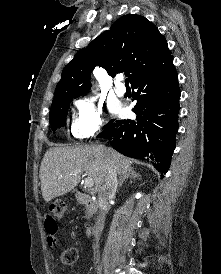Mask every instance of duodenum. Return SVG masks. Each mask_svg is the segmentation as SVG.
<instances>
[{"instance_id": "obj_1", "label": "duodenum", "mask_w": 221, "mask_h": 274, "mask_svg": "<svg viewBox=\"0 0 221 274\" xmlns=\"http://www.w3.org/2000/svg\"><path fill=\"white\" fill-rule=\"evenodd\" d=\"M76 197L80 204L85 205L89 209L90 216H92L94 213H96V211L98 209V202L95 198H93L92 196H90L86 193H82V192H78L76 194ZM91 230H92V228H89L88 233H90Z\"/></svg>"}]
</instances>
